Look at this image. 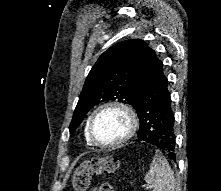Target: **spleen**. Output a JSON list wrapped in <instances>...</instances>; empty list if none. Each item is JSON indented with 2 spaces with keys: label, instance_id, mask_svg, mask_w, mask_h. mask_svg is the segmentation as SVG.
<instances>
[{
  "label": "spleen",
  "instance_id": "3e777b00",
  "mask_svg": "<svg viewBox=\"0 0 221 191\" xmlns=\"http://www.w3.org/2000/svg\"><path fill=\"white\" fill-rule=\"evenodd\" d=\"M167 160L160 153H156L150 164V170L145 176V181L151 184L153 191H175L176 184Z\"/></svg>",
  "mask_w": 221,
  "mask_h": 191
}]
</instances>
